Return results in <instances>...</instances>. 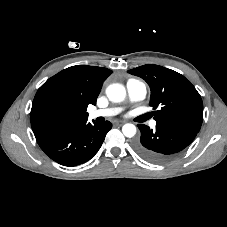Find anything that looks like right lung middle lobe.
I'll return each mask as SVG.
<instances>
[{"mask_svg": "<svg viewBox=\"0 0 227 227\" xmlns=\"http://www.w3.org/2000/svg\"><path fill=\"white\" fill-rule=\"evenodd\" d=\"M33 119L41 128H54L70 122L71 109L62 99L54 95H45L37 101Z\"/></svg>", "mask_w": 227, "mask_h": 227, "instance_id": "1", "label": "right lung middle lobe"}]
</instances>
